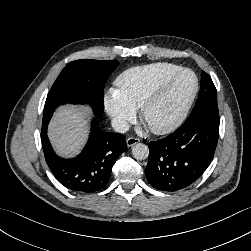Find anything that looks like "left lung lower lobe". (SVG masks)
Returning <instances> with one entry per match:
<instances>
[{"instance_id":"obj_1","label":"left lung lower lobe","mask_w":251,"mask_h":251,"mask_svg":"<svg viewBox=\"0 0 251 251\" xmlns=\"http://www.w3.org/2000/svg\"><path fill=\"white\" fill-rule=\"evenodd\" d=\"M219 136V119H187L166 138L151 141L146 178L154 188L174 192L193 184L211 163Z\"/></svg>"}]
</instances>
